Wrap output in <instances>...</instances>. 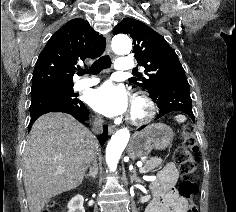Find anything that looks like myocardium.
Segmentation results:
<instances>
[{
	"label": "myocardium",
	"mask_w": 236,
	"mask_h": 212,
	"mask_svg": "<svg viewBox=\"0 0 236 212\" xmlns=\"http://www.w3.org/2000/svg\"><path fill=\"white\" fill-rule=\"evenodd\" d=\"M155 112V103L145 94L137 93L132 100L128 121L134 126H142L152 120Z\"/></svg>",
	"instance_id": "myocardium-1"
}]
</instances>
